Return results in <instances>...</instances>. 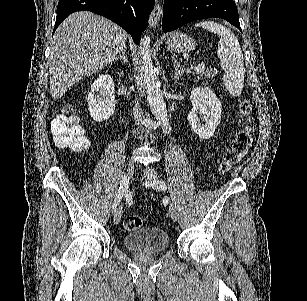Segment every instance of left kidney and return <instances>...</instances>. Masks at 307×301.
Masks as SVG:
<instances>
[{"instance_id":"obj_1","label":"left kidney","mask_w":307,"mask_h":301,"mask_svg":"<svg viewBox=\"0 0 307 301\" xmlns=\"http://www.w3.org/2000/svg\"><path fill=\"white\" fill-rule=\"evenodd\" d=\"M190 100L192 108L187 118L191 128L200 138H211L221 120L222 104L219 98L209 86H196L191 90Z\"/></svg>"}]
</instances>
